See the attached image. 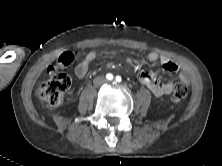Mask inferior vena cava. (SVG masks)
<instances>
[{
  "label": "inferior vena cava",
  "instance_id": "1",
  "mask_svg": "<svg viewBox=\"0 0 222 166\" xmlns=\"http://www.w3.org/2000/svg\"><path fill=\"white\" fill-rule=\"evenodd\" d=\"M104 82H106L105 78H103V77H96L95 80H94V85L98 86V85H100L101 83H104Z\"/></svg>",
  "mask_w": 222,
  "mask_h": 166
}]
</instances>
